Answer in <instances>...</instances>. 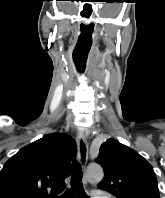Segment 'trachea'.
Here are the masks:
<instances>
[{"label":"trachea","instance_id":"1","mask_svg":"<svg viewBox=\"0 0 165 198\" xmlns=\"http://www.w3.org/2000/svg\"><path fill=\"white\" fill-rule=\"evenodd\" d=\"M71 188L66 189L61 198H89L82 185V171L77 164L72 165Z\"/></svg>","mask_w":165,"mask_h":198}]
</instances>
